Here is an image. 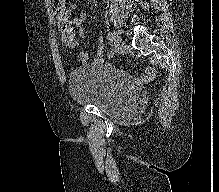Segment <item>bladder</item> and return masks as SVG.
<instances>
[{"label":"bladder","mask_w":219,"mask_h":192,"mask_svg":"<svg viewBox=\"0 0 219 192\" xmlns=\"http://www.w3.org/2000/svg\"><path fill=\"white\" fill-rule=\"evenodd\" d=\"M70 94L76 102L96 107L115 119H127L139 110L140 95L130 77L98 64H84L69 76Z\"/></svg>","instance_id":"1"}]
</instances>
